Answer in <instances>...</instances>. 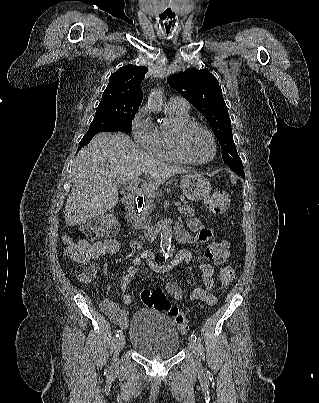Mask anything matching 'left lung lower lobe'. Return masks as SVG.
I'll return each instance as SVG.
<instances>
[{
    "mask_svg": "<svg viewBox=\"0 0 319 403\" xmlns=\"http://www.w3.org/2000/svg\"><path fill=\"white\" fill-rule=\"evenodd\" d=\"M243 178L245 177V173H244V175H241Z\"/></svg>",
    "mask_w": 319,
    "mask_h": 403,
    "instance_id": "left-lung-lower-lobe-1",
    "label": "left lung lower lobe"
}]
</instances>
